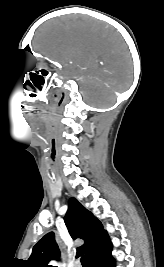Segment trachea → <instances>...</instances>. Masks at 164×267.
<instances>
[{"label": "trachea", "instance_id": "3493384b", "mask_svg": "<svg viewBox=\"0 0 164 267\" xmlns=\"http://www.w3.org/2000/svg\"><path fill=\"white\" fill-rule=\"evenodd\" d=\"M81 264L83 267H88L87 259L85 256L81 257Z\"/></svg>", "mask_w": 164, "mask_h": 267}]
</instances>
